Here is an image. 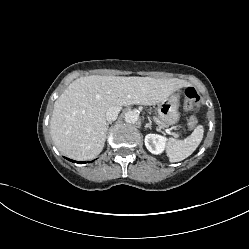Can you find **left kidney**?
Here are the masks:
<instances>
[{"mask_svg": "<svg viewBox=\"0 0 249 249\" xmlns=\"http://www.w3.org/2000/svg\"><path fill=\"white\" fill-rule=\"evenodd\" d=\"M167 139L158 134H147L145 136V146L152 153L159 155L166 147Z\"/></svg>", "mask_w": 249, "mask_h": 249, "instance_id": "left-kidney-1", "label": "left kidney"}]
</instances>
